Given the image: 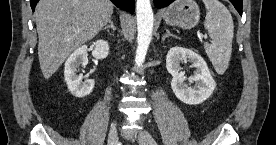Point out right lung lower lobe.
Returning <instances> with one entry per match:
<instances>
[{
  "label": "right lung lower lobe",
  "mask_w": 276,
  "mask_h": 145,
  "mask_svg": "<svg viewBox=\"0 0 276 145\" xmlns=\"http://www.w3.org/2000/svg\"><path fill=\"white\" fill-rule=\"evenodd\" d=\"M38 1L39 0H30V5L33 11ZM111 1L121 9L129 11L131 13L134 12V9H135L134 0H111Z\"/></svg>",
  "instance_id": "right-lung-lower-lobe-1"
}]
</instances>
